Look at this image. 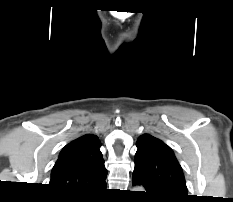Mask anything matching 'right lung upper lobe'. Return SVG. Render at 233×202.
Listing matches in <instances>:
<instances>
[{
    "instance_id": "right-lung-upper-lobe-1",
    "label": "right lung upper lobe",
    "mask_w": 233,
    "mask_h": 202,
    "mask_svg": "<svg viewBox=\"0 0 233 202\" xmlns=\"http://www.w3.org/2000/svg\"><path fill=\"white\" fill-rule=\"evenodd\" d=\"M97 136L86 134L67 144L55 163L49 186L56 192L87 197L106 188L107 170Z\"/></svg>"
}]
</instances>
